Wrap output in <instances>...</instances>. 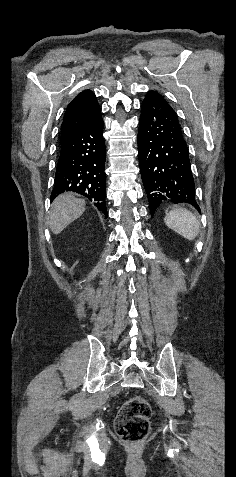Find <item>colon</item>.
<instances>
[{"mask_svg":"<svg viewBox=\"0 0 236 477\" xmlns=\"http://www.w3.org/2000/svg\"><path fill=\"white\" fill-rule=\"evenodd\" d=\"M151 407L146 399L134 396L121 407L115 421L118 437L125 443L144 441L150 430Z\"/></svg>","mask_w":236,"mask_h":477,"instance_id":"1","label":"colon"}]
</instances>
